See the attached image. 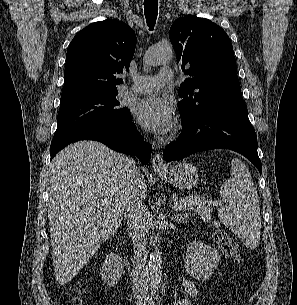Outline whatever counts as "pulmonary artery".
Masks as SVG:
<instances>
[{"label":"pulmonary artery","mask_w":297,"mask_h":305,"mask_svg":"<svg viewBox=\"0 0 297 305\" xmlns=\"http://www.w3.org/2000/svg\"><path fill=\"white\" fill-rule=\"evenodd\" d=\"M134 84L129 89L133 93H150L159 90L164 84L173 81L171 69L163 68L158 75H137L133 78Z\"/></svg>","instance_id":"obj_1"}]
</instances>
